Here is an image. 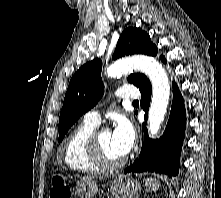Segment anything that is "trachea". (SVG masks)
<instances>
[{"label": "trachea", "instance_id": "obj_1", "mask_svg": "<svg viewBox=\"0 0 221 198\" xmlns=\"http://www.w3.org/2000/svg\"><path fill=\"white\" fill-rule=\"evenodd\" d=\"M138 103H139L138 100H134V101H133V104H138Z\"/></svg>", "mask_w": 221, "mask_h": 198}]
</instances>
